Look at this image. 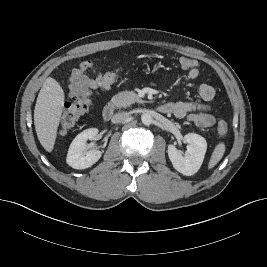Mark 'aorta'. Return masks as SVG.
<instances>
[{"mask_svg":"<svg viewBox=\"0 0 267 267\" xmlns=\"http://www.w3.org/2000/svg\"><path fill=\"white\" fill-rule=\"evenodd\" d=\"M141 121L144 125H150L153 122V118L150 114L144 113L141 116Z\"/></svg>","mask_w":267,"mask_h":267,"instance_id":"762f6f07","label":"aorta"}]
</instances>
